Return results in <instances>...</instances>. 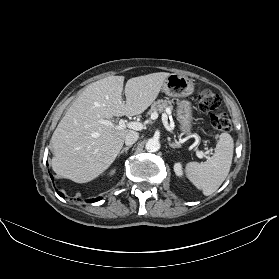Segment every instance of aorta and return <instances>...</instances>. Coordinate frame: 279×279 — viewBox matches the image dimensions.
Wrapping results in <instances>:
<instances>
[{
  "instance_id": "1",
  "label": "aorta",
  "mask_w": 279,
  "mask_h": 279,
  "mask_svg": "<svg viewBox=\"0 0 279 279\" xmlns=\"http://www.w3.org/2000/svg\"><path fill=\"white\" fill-rule=\"evenodd\" d=\"M145 148L148 152H157L160 149V142L155 138H151L147 141Z\"/></svg>"
}]
</instances>
